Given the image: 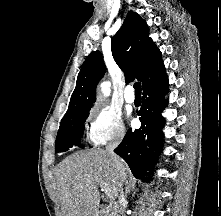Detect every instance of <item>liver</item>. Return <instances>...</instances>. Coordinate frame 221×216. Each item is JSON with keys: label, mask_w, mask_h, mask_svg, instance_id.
Here are the masks:
<instances>
[{"label": "liver", "mask_w": 221, "mask_h": 216, "mask_svg": "<svg viewBox=\"0 0 221 216\" xmlns=\"http://www.w3.org/2000/svg\"><path fill=\"white\" fill-rule=\"evenodd\" d=\"M56 179L62 216H97L99 187L111 190L114 198L119 194L120 181L114 159L103 149L66 157L56 168Z\"/></svg>", "instance_id": "obj_1"}]
</instances>
